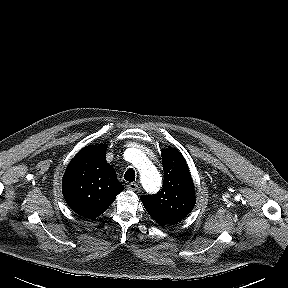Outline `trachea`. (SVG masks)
Wrapping results in <instances>:
<instances>
[{
	"label": "trachea",
	"mask_w": 288,
	"mask_h": 288,
	"mask_svg": "<svg viewBox=\"0 0 288 288\" xmlns=\"http://www.w3.org/2000/svg\"><path fill=\"white\" fill-rule=\"evenodd\" d=\"M124 179L129 182L135 181V171L132 168L127 169L124 174Z\"/></svg>",
	"instance_id": "trachea-1"
}]
</instances>
